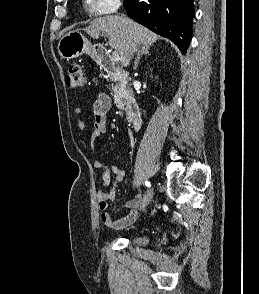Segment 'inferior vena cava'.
Here are the masks:
<instances>
[{"label":"inferior vena cava","mask_w":259,"mask_h":294,"mask_svg":"<svg viewBox=\"0 0 259 294\" xmlns=\"http://www.w3.org/2000/svg\"><path fill=\"white\" fill-rule=\"evenodd\" d=\"M135 51H137L136 45L131 44V50H130V52H131L130 56H131V57L133 56V53H134Z\"/></svg>","instance_id":"602c4592"}]
</instances>
